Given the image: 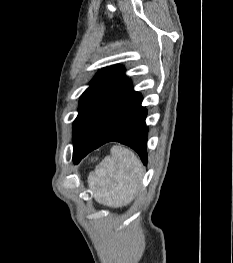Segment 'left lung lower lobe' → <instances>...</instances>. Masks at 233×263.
<instances>
[{
	"instance_id": "0a47b994",
	"label": "left lung lower lobe",
	"mask_w": 233,
	"mask_h": 263,
	"mask_svg": "<svg viewBox=\"0 0 233 263\" xmlns=\"http://www.w3.org/2000/svg\"><path fill=\"white\" fill-rule=\"evenodd\" d=\"M142 95L127 81L99 117L90 138L83 147H74L75 164L101 145L115 141L135 150L147 164V111L141 106Z\"/></svg>"
}]
</instances>
